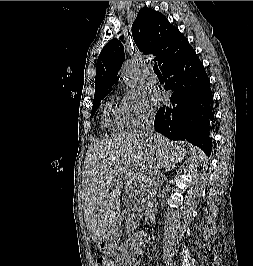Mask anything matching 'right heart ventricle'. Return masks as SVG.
<instances>
[{
    "label": "right heart ventricle",
    "mask_w": 253,
    "mask_h": 266,
    "mask_svg": "<svg viewBox=\"0 0 253 266\" xmlns=\"http://www.w3.org/2000/svg\"><path fill=\"white\" fill-rule=\"evenodd\" d=\"M102 122L105 127L113 131H119L127 126L120 109L114 107L112 102H108L105 105L102 113Z\"/></svg>",
    "instance_id": "e07e8e85"
}]
</instances>
